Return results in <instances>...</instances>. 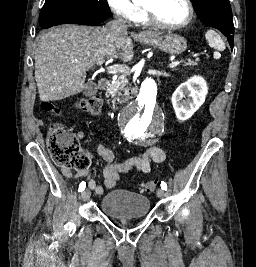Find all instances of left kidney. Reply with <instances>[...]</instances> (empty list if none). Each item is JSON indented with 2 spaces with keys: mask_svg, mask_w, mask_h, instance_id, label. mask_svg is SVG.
<instances>
[{
  "mask_svg": "<svg viewBox=\"0 0 256 267\" xmlns=\"http://www.w3.org/2000/svg\"><path fill=\"white\" fill-rule=\"evenodd\" d=\"M207 94V84L200 76H193L184 84H180L171 98L178 120L185 122L191 118L194 112H197L198 108L204 104Z\"/></svg>",
  "mask_w": 256,
  "mask_h": 267,
  "instance_id": "5707ae66",
  "label": "left kidney"
}]
</instances>
